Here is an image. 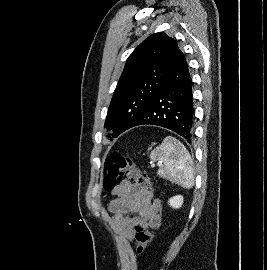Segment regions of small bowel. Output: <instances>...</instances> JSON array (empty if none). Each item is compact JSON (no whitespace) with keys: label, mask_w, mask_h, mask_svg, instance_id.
<instances>
[{"label":"small bowel","mask_w":267,"mask_h":270,"mask_svg":"<svg viewBox=\"0 0 267 270\" xmlns=\"http://www.w3.org/2000/svg\"><path fill=\"white\" fill-rule=\"evenodd\" d=\"M113 200L108 210L113 215V223L118 235L126 243H131L136 235V224L141 221L151 227L160 224L159 202L153 199L151 191L136 185L131 180H123L112 191Z\"/></svg>","instance_id":"1"}]
</instances>
